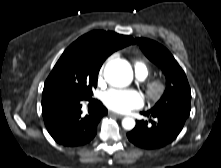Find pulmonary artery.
Segmentation results:
<instances>
[{
	"mask_svg": "<svg viewBox=\"0 0 221 168\" xmlns=\"http://www.w3.org/2000/svg\"><path fill=\"white\" fill-rule=\"evenodd\" d=\"M137 78H138L139 80H143V79H144L143 76H137Z\"/></svg>",
	"mask_w": 221,
	"mask_h": 168,
	"instance_id": "e3ab8cb5",
	"label": "pulmonary artery"
}]
</instances>
